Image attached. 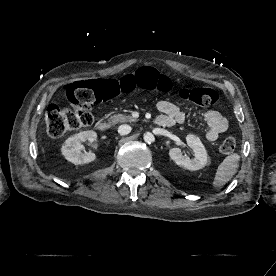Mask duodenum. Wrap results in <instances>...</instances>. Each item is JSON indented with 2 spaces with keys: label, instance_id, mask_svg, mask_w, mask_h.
<instances>
[{
  "label": "duodenum",
  "instance_id": "1",
  "mask_svg": "<svg viewBox=\"0 0 276 276\" xmlns=\"http://www.w3.org/2000/svg\"><path fill=\"white\" fill-rule=\"evenodd\" d=\"M156 123L158 124V125H161V126H164L163 124V120H161V119H156ZM97 128H98V130L99 131H101V132H106V131H108L109 130V128H110V124L107 122V121H100V122H98V124H97Z\"/></svg>",
  "mask_w": 276,
  "mask_h": 276
}]
</instances>
